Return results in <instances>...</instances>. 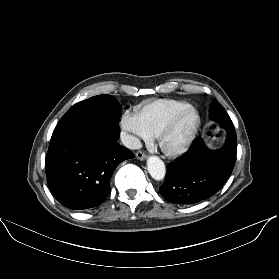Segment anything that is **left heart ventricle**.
<instances>
[{
    "instance_id": "left-heart-ventricle-1",
    "label": "left heart ventricle",
    "mask_w": 279,
    "mask_h": 279,
    "mask_svg": "<svg viewBox=\"0 0 279 279\" xmlns=\"http://www.w3.org/2000/svg\"><path fill=\"white\" fill-rule=\"evenodd\" d=\"M195 122V115L193 113L186 114L181 120L176 124L172 132L165 140V144L168 147H177L185 139L189 130Z\"/></svg>"
}]
</instances>
